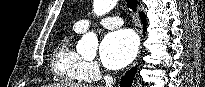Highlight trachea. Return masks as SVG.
<instances>
[{
	"mask_svg": "<svg viewBox=\"0 0 205 87\" xmlns=\"http://www.w3.org/2000/svg\"><path fill=\"white\" fill-rule=\"evenodd\" d=\"M128 8L136 12L137 10V0H126Z\"/></svg>",
	"mask_w": 205,
	"mask_h": 87,
	"instance_id": "obj_1",
	"label": "trachea"
}]
</instances>
